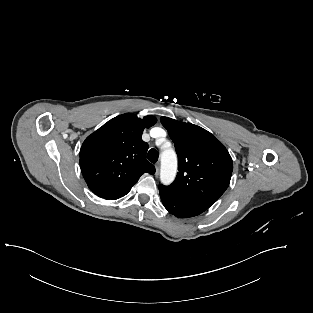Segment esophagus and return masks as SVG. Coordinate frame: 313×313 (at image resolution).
<instances>
[{
	"mask_svg": "<svg viewBox=\"0 0 313 313\" xmlns=\"http://www.w3.org/2000/svg\"><path fill=\"white\" fill-rule=\"evenodd\" d=\"M155 174L156 175H158L159 174V170H160V164L159 163H157L156 165H155Z\"/></svg>",
	"mask_w": 313,
	"mask_h": 313,
	"instance_id": "esophagus-1",
	"label": "esophagus"
}]
</instances>
